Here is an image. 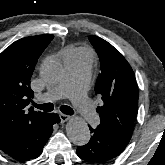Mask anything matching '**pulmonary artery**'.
Returning <instances> with one entry per match:
<instances>
[{"label": "pulmonary artery", "instance_id": "e3ab8cb5", "mask_svg": "<svg viewBox=\"0 0 165 165\" xmlns=\"http://www.w3.org/2000/svg\"><path fill=\"white\" fill-rule=\"evenodd\" d=\"M64 64L67 69L66 78L40 100L50 102L69 97L86 123L97 125L98 115L86 96L91 71L90 57H65Z\"/></svg>", "mask_w": 165, "mask_h": 165}]
</instances>
